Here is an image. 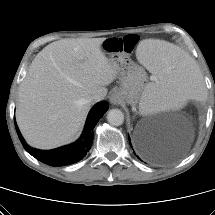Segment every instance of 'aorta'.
Instances as JSON below:
<instances>
[{
  "instance_id": "1",
  "label": "aorta",
  "mask_w": 215,
  "mask_h": 215,
  "mask_svg": "<svg viewBox=\"0 0 215 215\" xmlns=\"http://www.w3.org/2000/svg\"><path fill=\"white\" fill-rule=\"evenodd\" d=\"M107 121L113 126H120L124 122V114L119 109H111L107 114Z\"/></svg>"
}]
</instances>
